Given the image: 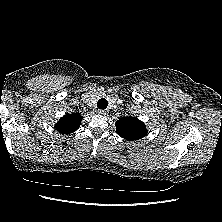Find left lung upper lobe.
<instances>
[{
    "label": "left lung upper lobe",
    "instance_id": "obj_1",
    "mask_svg": "<svg viewBox=\"0 0 222 222\" xmlns=\"http://www.w3.org/2000/svg\"><path fill=\"white\" fill-rule=\"evenodd\" d=\"M117 134L127 140L134 141L147 134L145 124L135 117H123L116 122Z\"/></svg>",
    "mask_w": 222,
    "mask_h": 222
}]
</instances>
